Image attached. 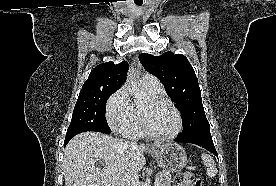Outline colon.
<instances>
[{
    "label": "colon",
    "instance_id": "5ec220e1",
    "mask_svg": "<svg viewBox=\"0 0 276 186\" xmlns=\"http://www.w3.org/2000/svg\"><path fill=\"white\" fill-rule=\"evenodd\" d=\"M174 186H202V183L193 172L183 171L175 176Z\"/></svg>",
    "mask_w": 276,
    "mask_h": 186
}]
</instances>
